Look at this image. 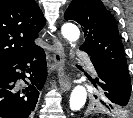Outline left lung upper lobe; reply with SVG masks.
<instances>
[{"mask_svg":"<svg viewBox=\"0 0 133 118\" xmlns=\"http://www.w3.org/2000/svg\"><path fill=\"white\" fill-rule=\"evenodd\" d=\"M65 19L82 26L85 42L81 50L104 61L131 81L116 20L100 0H73L65 12ZM100 102L109 108L104 100L100 99Z\"/></svg>","mask_w":133,"mask_h":118,"instance_id":"1","label":"left lung upper lobe"}]
</instances>
